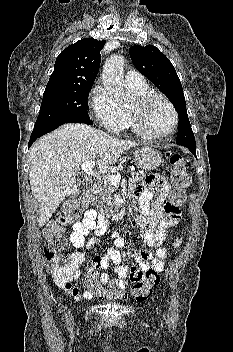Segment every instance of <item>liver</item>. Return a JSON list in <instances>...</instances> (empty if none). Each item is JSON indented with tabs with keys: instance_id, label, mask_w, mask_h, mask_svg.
Instances as JSON below:
<instances>
[{
	"instance_id": "6515ba94",
	"label": "liver",
	"mask_w": 233,
	"mask_h": 352,
	"mask_svg": "<svg viewBox=\"0 0 233 352\" xmlns=\"http://www.w3.org/2000/svg\"><path fill=\"white\" fill-rule=\"evenodd\" d=\"M138 144L114 138L91 126L66 124L45 135L30 149L29 180L33 196L38 200V224L43 227L60 203L78 192L77 170L97 158L100 172H107L121 154Z\"/></svg>"
}]
</instances>
